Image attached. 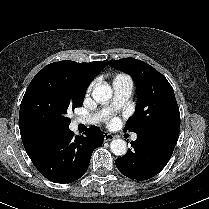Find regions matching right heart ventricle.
<instances>
[{"label": "right heart ventricle", "mask_w": 209, "mask_h": 209, "mask_svg": "<svg viewBox=\"0 0 209 209\" xmlns=\"http://www.w3.org/2000/svg\"><path fill=\"white\" fill-rule=\"evenodd\" d=\"M126 81H130L128 76H126L124 74H117L114 77L113 84L117 83V82H126Z\"/></svg>", "instance_id": "obj_1"}]
</instances>
